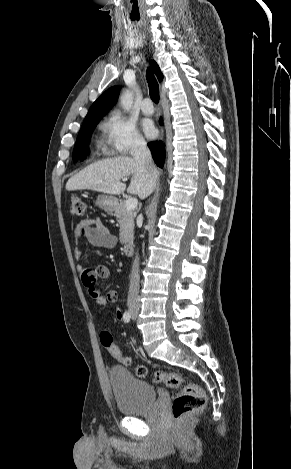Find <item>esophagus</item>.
I'll use <instances>...</instances> for the list:
<instances>
[{"label":"esophagus","mask_w":291,"mask_h":469,"mask_svg":"<svg viewBox=\"0 0 291 469\" xmlns=\"http://www.w3.org/2000/svg\"><path fill=\"white\" fill-rule=\"evenodd\" d=\"M163 136H164V129L161 128L159 139L162 140V139H163Z\"/></svg>","instance_id":"34e87169"}]
</instances>
